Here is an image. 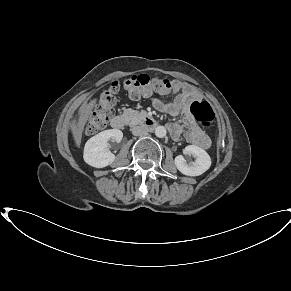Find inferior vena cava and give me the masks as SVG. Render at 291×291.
<instances>
[{
    "mask_svg": "<svg viewBox=\"0 0 291 291\" xmlns=\"http://www.w3.org/2000/svg\"><path fill=\"white\" fill-rule=\"evenodd\" d=\"M132 134L135 136H143L146 135L148 130L144 126H134L132 129Z\"/></svg>",
    "mask_w": 291,
    "mask_h": 291,
    "instance_id": "1",
    "label": "inferior vena cava"
}]
</instances>
